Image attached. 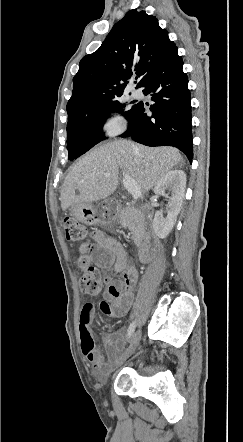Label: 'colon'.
Masks as SVG:
<instances>
[{
    "label": "colon",
    "instance_id": "1",
    "mask_svg": "<svg viewBox=\"0 0 243 442\" xmlns=\"http://www.w3.org/2000/svg\"><path fill=\"white\" fill-rule=\"evenodd\" d=\"M66 238L69 241L79 242L78 264L82 269L80 279L81 289L88 295H97L101 292L105 280L102 278L99 269L92 265L91 242L87 237V228L78 220L72 217L64 219Z\"/></svg>",
    "mask_w": 243,
    "mask_h": 442
}]
</instances>
